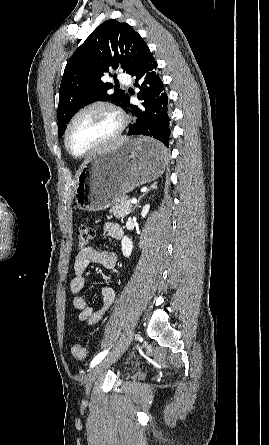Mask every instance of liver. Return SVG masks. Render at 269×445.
<instances>
[{
	"label": "liver",
	"instance_id": "6515ba94",
	"mask_svg": "<svg viewBox=\"0 0 269 445\" xmlns=\"http://www.w3.org/2000/svg\"><path fill=\"white\" fill-rule=\"evenodd\" d=\"M127 139H128L127 137H121L120 139H118V140L116 141L115 145L122 144V143L125 142ZM115 145H114V146H115Z\"/></svg>",
	"mask_w": 269,
	"mask_h": 445
}]
</instances>
